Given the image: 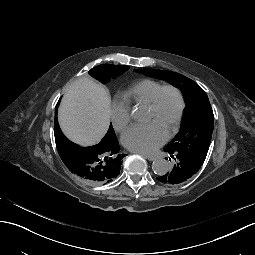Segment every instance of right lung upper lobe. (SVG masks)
<instances>
[{"mask_svg": "<svg viewBox=\"0 0 255 255\" xmlns=\"http://www.w3.org/2000/svg\"><path fill=\"white\" fill-rule=\"evenodd\" d=\"M60 102V100H59ZM55 110L54 134L58 153L66 167L76 175L81 181L92 184L102 185L112 182L120 173L122 159L125 156L120 152L118 140L113 127L109 128L108 133L102 141L96 145L81 147L68 140L62 133L57 121V108ZM87 150L91 153L96 152L100 155V174L96 177L82 179L79 174V152Z\"/></svg>", "mask_w": 255, "mask_h": 255, "instance_id": "1", "label": "right lung upper lobe"}]
</instances>
